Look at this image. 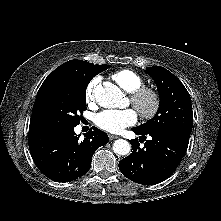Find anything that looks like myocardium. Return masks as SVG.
Listing matches in <instances>:
<instances>
[{"mask_svg": "<svg viewBox=\"0 0 221 221\" xmlns=\"http://www.w3.org/2000/svg\"><path fill=\"white\" fill-rule=\"evenodd\" d=\"M130 100L131 104L138 111L140 116L147 120L153 119L157 116L162 104L160 92L156 88L150 86H141L131 92ZM146 100L150 101V106L147 109L143 107Z\"/></svg>", "mask_w": 221, "mask_h": 221, "instance_id": "obj_1", "label": "myocardium"}]
</instances>
